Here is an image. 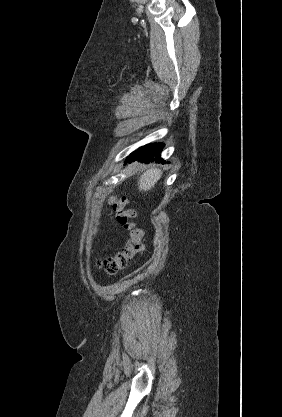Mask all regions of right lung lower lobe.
Returning a JSON list of instances; mask_svg holds the SVG:
<instances>
[{"label":"right lung lower lobe","mask_w":282,"mask_h":417,"mask_svg":"<svg viewBox=\"0 0 282 417\" xmlns=\"http://www.w3.org/2000/svg\"><path fill=\"white\" fill-rule=\"evenodd\" d=\"M163 147L164 145L161 143L145 145L133 152L126 161L131 162L138 160L148 163L155 160L156 162L161 161L162 163H165L162 159H160V152Z\"/></svg>","instance_id":"98d812e1"}]
</instances>
